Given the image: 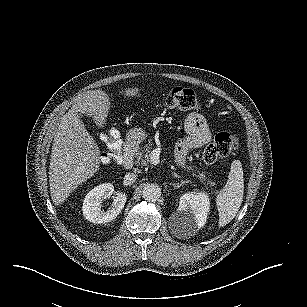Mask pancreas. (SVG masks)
Listing matches in <instances>:
<instances>
[{"instance_id":"pancreas-1","label":"pancreas","mask_w":307,"mask_h":307,"mask_svg":"<svg viewBox=\"0 0 307 307\" xmlns=\"http://www.w3.org/2000/svg\"><path fill=\"white\" fill-rule=\"evenodd\" d=\"M151 141L149 140L147 143L143 144L138 150L135 151V158L136 164L141 167H151V160H150V152L152 149ZM205 174L201 173L198 175V178L203 181V183L208 186H214L215 182H207L205 179Z\"/></svg>"}]
</instances>
